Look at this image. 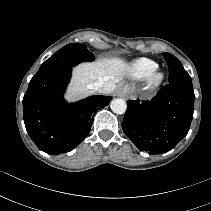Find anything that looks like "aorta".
Instances as JSON below:
<instances>
[{
  "label": "aorta",
  "mask_w": 211,
  "mask_h": 211,
  "mask_svg": "<svg viewBox=\"0 0 211 211\" xmlns=\"http://www.w3.org/2000/svg\"><path fill=\"white\" fill-rule=\"evenodd\" d=\"M111 109L116 114H123L127 109V104L123 99H114L111 102Z\"/></svg>",
  "instance_id": "obj_1"
}]
</instances>
